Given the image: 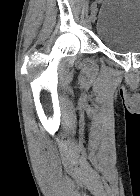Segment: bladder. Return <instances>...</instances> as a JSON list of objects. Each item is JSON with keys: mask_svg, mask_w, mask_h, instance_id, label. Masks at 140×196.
<instances>
[{"mask_svg": "<svg viewBox=\"0 0 140 196\" xmlns=\"http://www.w3.org/2000/svg\"><path fill=\"white\" fill-rule=\"evenodd\" d=\"M96 33L115 53L140 54V0H104Z\"/></svg>", "mask_w": 140, "mask_h": 196, "instance_id": "31cf9c89", "label": "bladder"}]
</instances>
